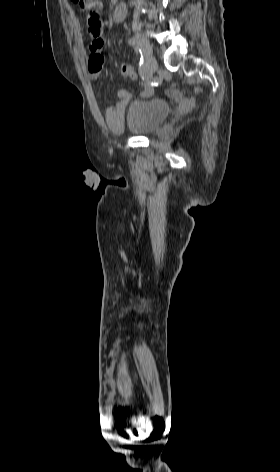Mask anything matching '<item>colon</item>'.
<instances>
[{"mask_svg": "<svg viewBox=\"0 0 280 472\" xmlns=\"http://www.w3.org/2000/svg\"><path fill=\"white\" fill-rule=\"evenodd\" d=\"M73 3L77 4L81 11L86 15L87 19L90 22L97 23L100 21L99 19V9L100 3L98 0H71ZM120 73L123 76L129 77L130 79H137V73L133 70V68L128 64H121L120 65ZM200 89L196 88V92H199Z\"/></svg>", "mask_w": 280, "mask_h": 472, "instance_id": "obj_1", "label": "colon"}]
</instances>
